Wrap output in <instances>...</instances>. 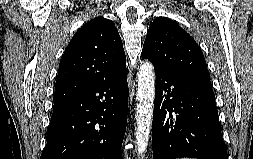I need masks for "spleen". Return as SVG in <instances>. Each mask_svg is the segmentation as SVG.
<instances>
[{
	"instance_id": "1",
	"label": "spleen",
	"mask_w": 253,
	"mask_h": 159,
	"mask_svg": "<svg viewBox=\"0 0 253 159\" xmlns=\"http://www.w3.org/2000/svg\"><path fill=\"white\" fill-rule=\"evenodd\" d=\"M181 159H191V158H181Z\"/></svg>"
}]
</instances>
